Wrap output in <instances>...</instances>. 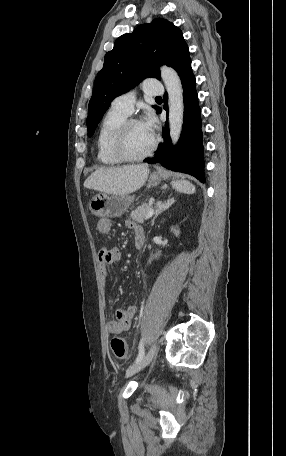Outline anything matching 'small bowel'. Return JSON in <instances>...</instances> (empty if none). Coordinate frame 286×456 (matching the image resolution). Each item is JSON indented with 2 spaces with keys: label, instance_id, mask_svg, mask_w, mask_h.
Here are the masks:
<instances>
[{
  "label": "small bowel",
  "instance_id": "small-bowel-1",
  "mask_svg": "<svg viewBox=\"0 0 286 456\" xmlns=\"http://www.w3.org/2000/svg\"><path fill=\"white\" fill-rule=\"evenodd\" d=\"M128 225L134 229L135 237L144 234L142 228L133 221H128ZM98 231L101 234H109L112 229V222L108 218H102L98 221ZM121 259V251L116 248H109L103 245L98 252V262L104 284L105 291H109L112 282L108 273V266L116 263ZM137 313V306L130 305L126 308H119L115 311V319L107 323V330L111 334H120L127 331L132 324V320Z\"/></svg>",
  "mask_w": 286,
  "mask_h": 456
}]
</instances>
